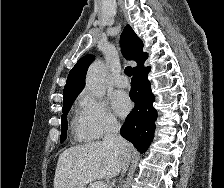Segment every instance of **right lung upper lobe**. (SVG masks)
<instances>
[{"instance_id": "1", "label": "right lung upper lobe", "mask_w": 224, "mask_h": 188, "mask_svg": "<svg viewBox=\"0 0 224 188\" xmlns=\"http://www.w3.org/2000/svg\"><path fill=\"white\" fill-rule=\"evenodd\" d=\"M120 43L124 57L137 62V66L133 68V71L143 67L144 61L147 59V53H143V42L130 25L124 28ZM93 60V55H86L78 60L68 75L67 83L64 87L63 100L79 94L83 90L86 72Z\"/></svg>"}]
</instances>
